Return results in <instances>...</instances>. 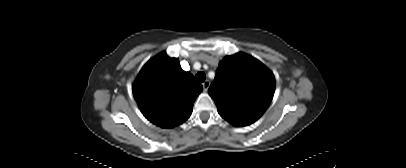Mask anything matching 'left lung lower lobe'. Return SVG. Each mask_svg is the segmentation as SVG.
Here are the masks:
<instances>
[{
	"instance_id": "left-lung-lower-lobe-1",
	"label": "left lung lower lobe",
	"mask_w": 406,
	"mask_h": 168,
	"mask_svg": "<svg viewBox=\"0 0 406 168\" xmlns=\"http://www.w3.org/2000/svg\"><path fill=\"white\" fill-rule=\"evenodd\" d=\"M233 125H235V126H245V125H242V124H233Z\"/></svg>"
}]
</instances>
